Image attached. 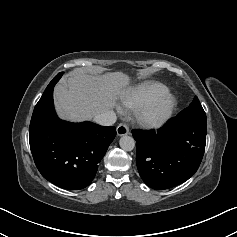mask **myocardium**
<instances>
[{
	"mask_svg": "<svg viewBox=\"0 0 237 237\" xmlns=\"http://www.w3.org/2000/svg\"><path fill=\"white\" fill-rule=\"evenodd\" d=\"M176 106V97L168 92L138 108L136 113L137 122L145 128H160L170 120Z\"/></svg>",
	"mask_w": 237,
	"mask_h": 237,
	"instance_id": "1",
	"label": "myocardium"
}]
</instances>
